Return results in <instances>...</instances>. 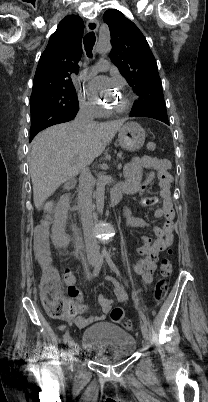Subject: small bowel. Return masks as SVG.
Returning <instances> with one entry per match:
<instances>
[{
    "instance_id": "c3829d8e",
    "label": "small bowel",
    "mask_w": 208,
    "mask_h": 402,
    "mask_svg": "<svg viewBox=\"0 0 208 402\" xmlns=\"http://www.w3.org/2000/svg\"><path fill=\"white\" fill-rule=\"evenodd\" d=\"M144 168L150 169L147 176L143 177L142 170ZM170 162L166 159L142 156L137 157L126 165L125 173V187L129 193L143 194L146 188L154 181H156L161 197V206L156 210L155 216L163 219V226L153 228L154 238L145 236L143 238V246L138 249V254L141 259L134 264V270L142 275L145 283H151L153 280V273L156 267V259L162 250L168 247L173 241V221L174 211L171 200V175L169 173ZM145 199L140 200V204H144ZM126 224L129 228H144L149 227V224L133 214V207L128 206L125 210ZM65 279L69 280V295L74 304L75 315H58L55 318L56 323L66 324L68 329L73 327L76 323L78 330H88L90 323L98 324L101 318H105L107 313L112 307V301L104 296L99 297V303L102 308L101 318L98 315L87 317L83 316L87 307L81 300L76 299L78 291L75 287V278L71 270L63 272ZM105 282L113 289L116 300L120 303L126 302L128 299L127 290L124 284L113 278H105ZM44 296V295H42ZM61 296V295H45ZM62 297V296H61Z\"/></svg>"
}]
</instances>
